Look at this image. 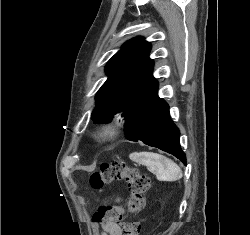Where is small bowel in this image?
I'll use <instances>...</instances> for the list:
<instances>
[{"label": "small bowel", "instance_id": "small-bowel-1", "mask_svg": "<svg viewBox=\"0 0 250 235\" xmlns=\"http://www.w3.org/2000/svg\"><path fill=\"white\" fill-rule=\"evenodd\" d=\"M116 201L120 202L121 198H117ZM100 235H123V231L119 225H102Z\"/></svg>", "mask_w": 250, "mask_h": 235}]
</instances>
